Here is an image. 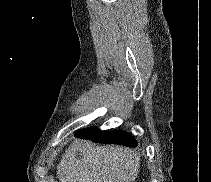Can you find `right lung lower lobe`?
<instances>
[{
	"label": "right lung lower lobe",
	"instance_id": "obj_1",
	"mask_svg": "<svg viewBox=\"0 0 211 182\" xmlns=\"http://www.w3.org/2000/svg\"><path fill=\"white\" fill-rule=\"evenodd\" d=\"M74 135L98 143L119 144L129 147H136L138 145L137 141L130 134L121 130L102 131L97 127H88L78 130Z\"/></svg>",
	"mask_w": 211,
	"mask_h": 182
}]
</instances>
